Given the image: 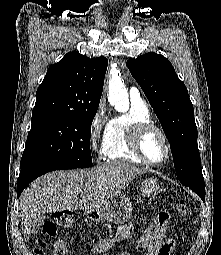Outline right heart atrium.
I'll use <instances>...</instances> for the list:
<instances>
[{
	"label": "right heart atrium",
	"mask_w": 221,
	"mask_h": 255,
	"mask_svg": "<svg viewBox=\"0 0 221 255\" xmlns=\"http://www.w3.org/2000/svg\"><path fill=\"white\" fill-rule=\"evenodd\" d=\"M109 119L103 105L96 110L89 128V141L93 149H97L103 141L109 125Z\"/></svg>",
	"instance_id": "obj_1"
}]
</instances>
